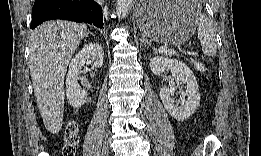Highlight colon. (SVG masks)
<instances>
[{"mask_svg":"<svg viewBox=\"0 0 261 156\" xmlns=\"http://www.w3.org/2000/svg\"><path fill=\"white\" fill-rule=\"evenodd\" d=\"M196 68L199 71H205L204 66L201 63H196ZM79 140L78 126L75 122L67 124L64 132V144L62 148V154L65 156H72L75 154V148Z\"/></svg>","mask_w":261,"mask_h":156,"instance_id":"1","label":"colon"}]
</instances>
